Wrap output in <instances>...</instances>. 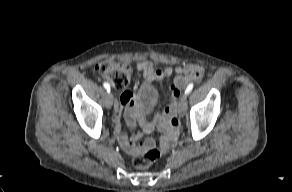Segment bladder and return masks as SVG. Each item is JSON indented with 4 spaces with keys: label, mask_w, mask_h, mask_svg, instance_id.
I'll return each instance as SVG.
<instances>
[{
    "label": "bladder",
    "mask_w": 292,
    "mask_h": 192,
    "mask_svg": "<svg viewBox=\"0 0 292 192\" xmlns=\"http://www.w3.org/2000/svg\"><path fill=\"white\" fill-rule=\"evenodd\" d=\"M138 108L144 112H150L155 109L161 100L160 91L152 84L144 85L136 95Z\"/></svg>",
    "instance_id": "1"
}]
</instances>
